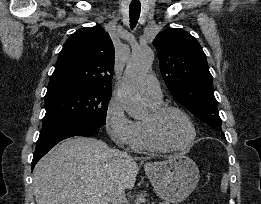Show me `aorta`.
Instances as JSON below:
<instances>
[{"label": "aorta", "mask_w": 261, "mask_h": 204, "mask_svg": "<svg viewBox=\"0 0 261 204\" xmlns=\"http://www.w3.org/2000/svg\"><path fill=\"white\" fill-rule=\"evenodd\" d=\"M153 60L154 52L149 47L133 51L118 89V96L125 111L134 119H140L146 114V106L137 86L139 80L148 73Z\"/></svg>", "instance_id": "aorta-1"}]
</instances>
